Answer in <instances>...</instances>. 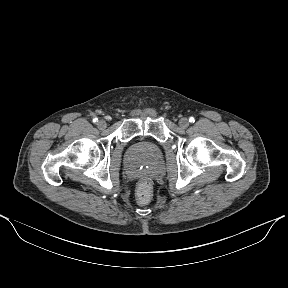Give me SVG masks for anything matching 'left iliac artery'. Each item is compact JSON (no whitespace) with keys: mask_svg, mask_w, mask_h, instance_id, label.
I'll use <instances>...</instances> for the list:
<instances>
[{"mask_svg":"<svg viewBox=\"0 0 288 288\" xmlns=\"http://www.w3.org/2000/svg\"><path fill=\"white\" fill-rule=\"evenodd\" d=\"M189 122L194 123V122H195L194 117H190V118H189Z\"/></svg>","mask_w":288,"mask_h":288,"instance_id":"left-iliac-artery-1","label":"left iliac artery"}]
</instances>
